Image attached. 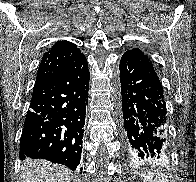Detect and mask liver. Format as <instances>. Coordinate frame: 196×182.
Listing matches in <instances>:
<instances>
[{
    "mask_svg": "<svg viewBox=\"0 0 196 182\" xmlns=\"http://www.w3.org/2000/svg\"><path fill=\"white\" fill-rule=\"evenodd\" d=\"M20 178V182H70V172L45 160H26Z\"/></svg>",
    "mask_w": 196,
    "mask_h": 182,
    "instance_id": "liver-1",
    "label": "liver"
}]
</instances>
